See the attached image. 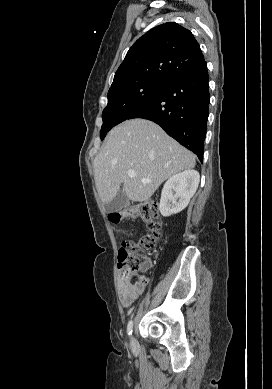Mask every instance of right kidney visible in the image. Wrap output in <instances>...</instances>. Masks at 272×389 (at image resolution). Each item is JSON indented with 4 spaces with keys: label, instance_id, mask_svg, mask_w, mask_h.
Here are the masks:
<instances>
[{
    "label": "right kidney",
    "instance_id": "ca27d5eb",
    "mask_svg": "<svg viewBox=\"0 0 272 389\" xmlns=\"http://www.w3.org/2000/svg\"><path fill=\"white\" fill-rule=\"evenodd\" d=\"M199 181V173L191 169L171 176L162 189L159 205L161 214L168 217L185 209L195 194Z\"/></svg>",
    "mask_w": 272,
    "mask_h": 389
}]
</instances>
